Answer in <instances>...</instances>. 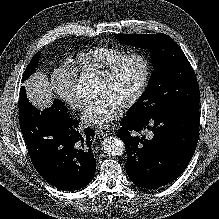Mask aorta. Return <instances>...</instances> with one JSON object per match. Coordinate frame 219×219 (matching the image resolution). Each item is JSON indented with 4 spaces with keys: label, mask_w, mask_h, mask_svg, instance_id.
Masks as SVG:
<instances>
[{
    "label": "aorta",
    "mask_w": 219,
    "mask_h": 219,
    "mask_svg": "<svg viewBox=\"0 0 219 219\" xmlns=\"http://www.w3.org/2000/svg\"><path fill=\"white\" fill-rule=\"evenodd\" d=\"M104 151L112 156H121L125 152V144L118 137H107L102 143Z\"/></svg>",
    "instance_id": "762f6f07"
}]
</instances>
